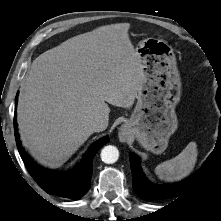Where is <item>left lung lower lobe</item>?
I'll return each instance as SVG.
<instances>
[{"label": "left lung lower lobe", "instance_id": "obj_1", "mask_svg": "<svg viewBox=\"0 0 221 221\" xmlns=\"http://www.w3.org/2000/svg\"><path fill=\"white\" fill-rule=\"evenodd\" d=\"M217 103L221 110V97L217 96ZM221 119V118H220ZM221 140V123L219 127V133L217 141ZM130 163L132 169V178H133V188L135 192L146 201L160 200L164 198L177 197L181 194H184L189 190L202 176L205 171L210 157L204 163L202 168L193 175L190 179H185L181 182L173 184H154L150 182L144 175L139 161L140 159L133 153H130Z\"/></svg>", "mask_w": 221, "mask_h": 221}]
</instances>
